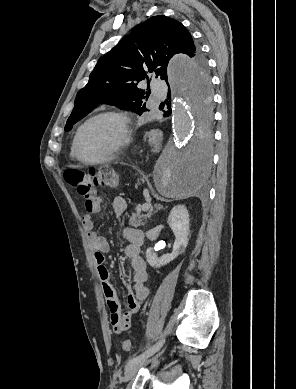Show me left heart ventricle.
<instances>
[{
    "instance_id": "left-heart-ventricle-1",
    "label": "left heart ventricle",
    "mask_w": 296,
    "mask_h": 389,
    "mask_svg": "<svg viewBox=\"0 0 296 389\" xmlns=\"http://www.w3.org/2000/svg\"><path fill=\"white\" fill-rule=\"evenodd\" d=\"M119 121L106 117L90 123L82 132L79 152L85 159H97L111 150L121 139Z\"/></svg>"
}]
</instances>
